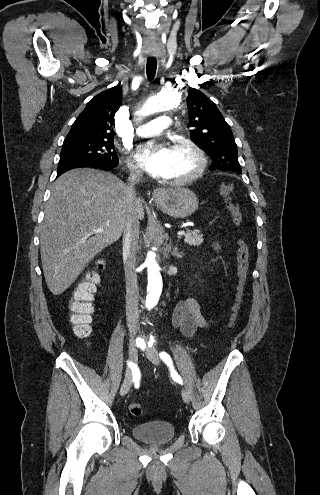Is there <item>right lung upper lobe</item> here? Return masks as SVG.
<instances>
[{"label":"right lung upper lobe","instance_id":"cb5924a9","mask_svg":"<svg viewBox=\"0 0 320 495\" xmlns=\"http://www.w3.org/2000/svg\"><path fill=\"white\" fill-rule=\"evenodd\" d=\"M121 98L118 86L97 94L76 118L65 140H114V116Z\"/></svg>","mask_w":320,"mask_h":495}]
</instances>
